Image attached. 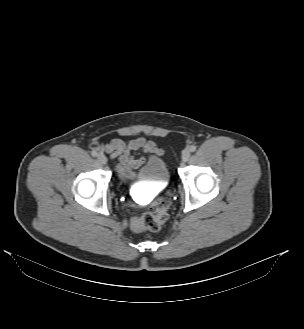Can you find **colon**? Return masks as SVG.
I'll use <instances>...</instances> for the list:
<instances>
[{
  "mask_svg": "<svg viewBox=\"0 0 304 329\" xmlns=\"http://www.w3.org/2000/svg\"><path fill=\"white\" fill-rule=\"evenodd\" d=\"M170 202L167 197L155 199L150 206L149 212L144 213L140 217H132L130 220V228L133 231H159L167 219V211Z\"/></svg>",
  "mask_w": 304,
  "mask_h": 329,
  "instance_id": "1",
  "label": "colon"
}]
</instances>
